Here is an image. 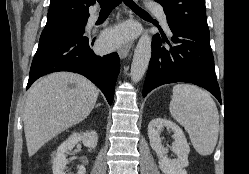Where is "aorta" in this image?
Segmentation results:
<instances>
[{
	"instance_id": "aorta-1",
	"label": "aorta",
	"mask_w": 249,
	"mask_h": 174,
	"mask_svg": "<svg viewBox=\"0 0 249 174\" xmlns=\"http://www.w3.org/2000/svg\"><path fill=\"white\" fill-rule=\"evenodd\" d=\"M152 39L148 33H144L137 43L131 64V80L136 83L144 76L151 58Z\"/></svg>"
}]
</instances>
